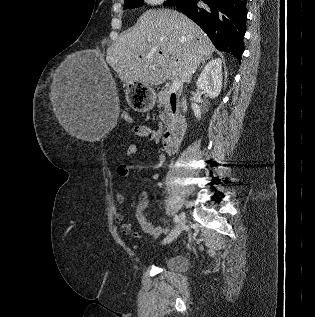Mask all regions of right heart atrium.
<instances>
[{
  "mask_svg": "<svg viewBox=\"0 0 315 317\" xmlns=\"http://www.w3.org/2000/svg\"><path fill=\"white\" fill-rule=\"evenodd\" d=\"M145 2L148 4V5H151V6H157V5H161L165 2V0H145Z\"/></svg>",
  "mask_w": 315,
  "mask_h": 317,
  "instance_id": "obj_1",
  "label": "right heart atrium"
}]
</instances>
